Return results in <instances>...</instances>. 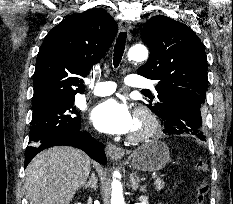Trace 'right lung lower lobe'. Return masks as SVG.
Listing matches in <instances>:
<instances>
[{
	"label": "right lung lower lobe",
	"instance_id": "1",
	"mask_svg": "<svg viewBox=\"0 0 233 204\" xmlns=\"http://www.w3.org/2000/svg\"><path fill=\"white\" fill-rule=\"evenodd\" d=\"M60 145H67L79 148L86 152L91 158L95 159L97 162L103 165L107 163L106 155L104 153V145L96 141L88 132H83L79 129L76 131H66L58 133L47 139L36 149L26 150L24 167H26L28 163L33 159V157L40 151L52 146Z\"/></svg>",
	"mask_w": 233,
	"mask_h": 204
}]
</instances>
